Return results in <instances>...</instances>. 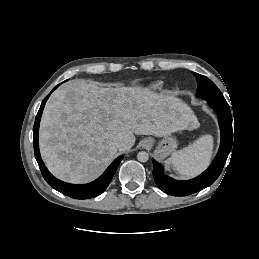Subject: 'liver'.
I'll return each instance as SVG.
<instances>
[{
	"mask_svg": "<svg viewBox=\"0 0 259 259\" xmlns=\"http://www.w3.org/2000/svg\"><path fill=\"white\" fill-rule=\"evenodd\" d=\"M192 110L178 98L141 87L104 88L71 80L46 103L39 134L40 151L57 178L85 183L116 156L131 149L135 135L165 137L197 128ZM123 139L117 148L113 141Z\"/></svg>",
	"mask_w": 259,
	"mask_h": 259,
	"instance_id": "6515ba94",
	"label": "liver"
}]
</instances>
